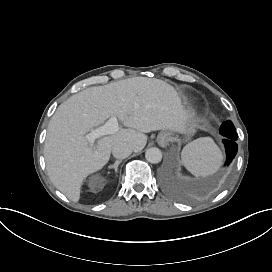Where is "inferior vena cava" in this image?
Wrapping results in <instances>:
<instances>
[{"instance_id": "inferior-vena-cava-1", "label": "inferior vena cava", "mask_w": 272, "mask_h": 272, "mask_svg": "<svg viewBox=\"0 0 272 272\" xmlns=\"http://www.w3.org/2000/svg\"><path fill=\"white\" fill-rule=\"evenodd\" d=\"M132 152L133 148L125 143L116 144L112 149L113 156L118 159H124L128 157Z\"/></svg>"}]
</instances>
